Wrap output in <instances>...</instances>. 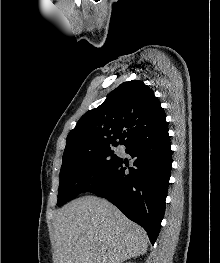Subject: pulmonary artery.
<instances>
[{"instance_id": "e3ab8cb5", "label": "pulmonary artery", "mask_w": 220, "mask_h": 263, "mask_svg": "<svg viewBox=\"0 0 220 263\" xmlns=\"http://www.w3.org/2000/svg\"><path fill=\"white\" fill-rule=\"evenodd\" d=\"M118 150L121 151V147H119Z\"/></svg>"}]
</instances>
